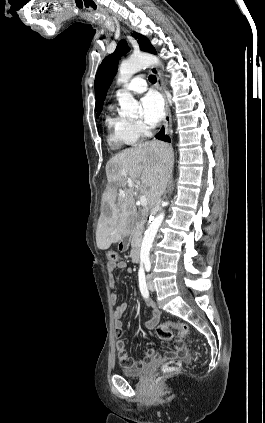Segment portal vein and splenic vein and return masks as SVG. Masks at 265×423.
I'll use <instances>...</instances> for the list:
<instances>
[{"label": "portal vein and splenic vein", "mask_w": 265, "mask_h": 423, "mask_svg": "<svg viewBox=\"0 0 265 423\" xmlns=\"http://www.w3.org/2000/svg\"><path fill=\"white\" fill-rule=\"evenodd\" d=\"M132 186H134V183H133L132 181H129V182H128V187H130V188H131ZM139 204H140L141 206H143V207H146V206H147L148 201H147L146 196H144V195H141V196H140V198H139Z\"/></svg>", "instance_id": "portal-vein-and-splenic-vein-1"}]
</instances>
